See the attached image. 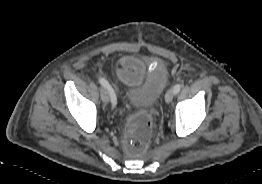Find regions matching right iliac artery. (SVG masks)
I'll return each instance as SVG.
<instances>
[{"instance_id":"right-iliac-artery-1","label":"right iliac artery","mask_w":262,"mask_h":184,"mask_svg":"<svg viewBox=\"0 0 262 184\" xmlns=\"http://www.w3.org/2000/svg\"><path fill=\"white\" fill-rule=\"evenodd\" d=\"M99 83L110 91L111 101H112L113 106H115L117 104V99L115 96V92L112 89V87L110 86V84L108 83V81L105 80L104 78H99Z\"/></svg>"}]
</instances>
